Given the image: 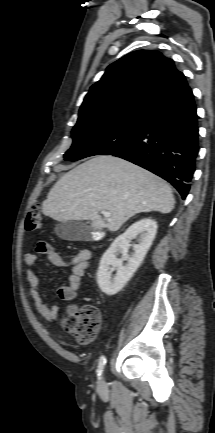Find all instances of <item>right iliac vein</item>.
Returning <instances> with one entry per match:
<instances>
[{
	"label": "right iliac vein",
	"mask_w": 215,
	"mask_h": 433,
	"mask_svg": "<svg viewBox=\"0 0 215 433\" xmlns=\"http://www.w3.org/2000/svg\"><path fill=\"white\" fill-rule=\"evenodd\" d=\"M105 384V380H104V376L101 377L100 381H99V386L103 387Z\"/></svg>",
	"instance_id": "right-iliac-vein-1"
}]
</instances>
